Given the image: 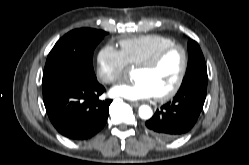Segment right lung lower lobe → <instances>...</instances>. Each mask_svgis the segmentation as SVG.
I'll return each instance as SVG.
<instances>
[{
	"mask_svg": "<svg viewBox=\"0 0 249 165\" xmlns=\"http://www.w3.org/2000/svg\"><path fill=\"white\" fill-rule=\"evenodd\" d=\"M43 101L48 117L57 131L73 140H84L106 124L112 100H101L105 88L61 70L43 72Z\"/></svg>",
	"mask_w": 249,
	"mask_h": 165,
	"instance_id": "right-lung-lower-lobe-1",
	"label": "right lung lower lobe"
}]
</instances>
